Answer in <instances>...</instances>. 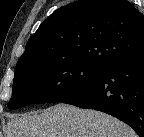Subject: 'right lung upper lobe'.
Listing matches in <instances>:
<instances>
[{"label":"right lung upper lobe","instance_id":"right-lung-upper-lobe-1","mask_svg":"<svg viewBox=\"0 0 144 137\" xmlns=\"http://www.w3.org/2000/svg\"><path fill=\"white\" fill-rule=\"evenodd\" d=\"M144 49V16L126 0H79L56 10L17 66L76 59L109 67Z\"/></svg>","mask_w":144,"mask_h":137}]
</instances>
